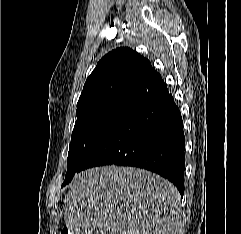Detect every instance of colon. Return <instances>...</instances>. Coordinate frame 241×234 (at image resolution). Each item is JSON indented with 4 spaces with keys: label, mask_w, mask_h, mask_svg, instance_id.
I'll use <instances>...</instances> for the list:
<instances>
[{
    "label": "colon",
    "mask_w": 241,
    "mask_h": 234,
    "mask_svg": "<svg viewBox=\"0 0 241 234\" xmlns=\"http://www.w3.org/2000/svg\"><path fill=\"white\" fill-rule=\"evenodd\" d=\"M61 234H69V231L67 229H63Z\"/></svg>",
    "instance_id": "colon-1"
}]
</instances>
